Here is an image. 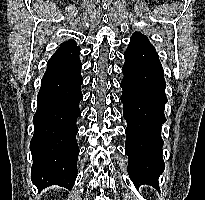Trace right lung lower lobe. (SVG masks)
<instances>
[{
    "label": "right lung lower lobe",
    "instance_id": "right-lung-lower-lobe-1",
    "mask_svg": "<svg viewBox=\"0 0 205 200\" xmlns=\"http://www.w3.org/2000/svg\"><path fill=\"white\" fill-rule=\"evenodd\" d=\"M79 54V47L58 49L41 80L30 142L31 179L38 190L51 185L72 189L77 177L76 120L83 98Z\"/></svg>",
    "mask_w": 205,
    "mask_h": 200
}]
</instances>
